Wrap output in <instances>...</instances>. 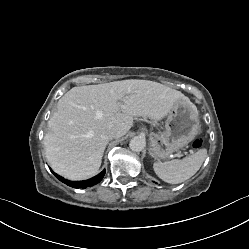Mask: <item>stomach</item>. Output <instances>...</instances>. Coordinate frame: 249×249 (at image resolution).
<instances>
[{
	"label": "stomach",
	"mask_w": 249,
	"mask_h": 249,
	"mask_svg": "<svg viewBox=\"0 0 249 249\" xmlns=\"http://www.w3.org/2000/svg\"><path fill=\"white\" fill-rule=\"evenodd\" d=\"M198 130L197 109L183 100H178L169 112L164 131L150 134L149 153L154 158L167 159L172 153L190 143Z\"/></svg>",
	"instance_id": "0dacf381"
}]
</instances>
